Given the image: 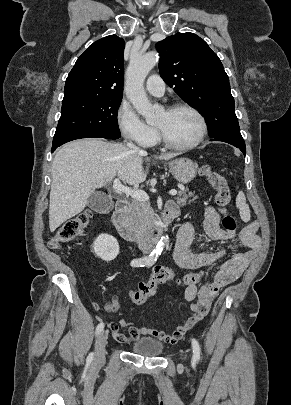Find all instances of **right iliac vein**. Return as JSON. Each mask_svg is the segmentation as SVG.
Masks as SVG:
<instances>
[{
    "instance_id": "63e3f726",
    "label": "right iliac vein",
    "mask_w": 291,
    "mask_h": 405,
    "mask_svg": "<svg viewBox=\"0 0 291 405\" xmlns=\"http://www.w3.org/2000/svg\"><path fill=\"white\" fill-rule=\"evenodd\" d=\"M107 343L106 332H101L95 343V360L100 363L105 358V347Z\"/></svg>"
}]
</instances>
